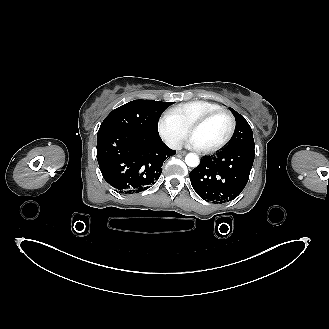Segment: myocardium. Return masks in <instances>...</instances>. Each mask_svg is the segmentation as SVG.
<instances>
[{
    "label": "myocardium",
    "instance_id": "obj_1",
    "mask_svg": "<svg viewBox=\"0 0 329 329\" xmlns=\"http://www.w3.org/2000/svg\"><path fill=\"white\" fill-rule=\"evenodd\" d=\"M219 115H225L226 117H228V119L230 121V128H229L228 134L220 143H218V144H216L212 147L199 148V150L202 153L216 152V151L220 150L221 148H223L225 145H227L229 143V141L232 139V137L234 135L235 128H236V120H235L233 114L227 109H218V110L212 111V112L198 118L197 120L193 121L190 124V126L188 127V132H189V134H191L197 127L205 124L206 122H208L212 118L217 117Z\"/></svg>",
    "mask_w": 329,
    "mask_h": 329
}]
</instances>
